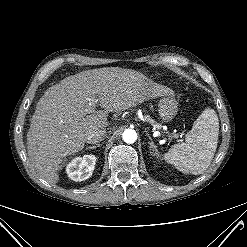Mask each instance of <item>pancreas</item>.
<instances>
[{"label":"pancreas","mask_w":247,"mask_h":247,"mask_svg":"<svg viewBox=\"0 0 247 247\" xmlns=\"http://www.w3.org/2000/svg\"><path fill=\"white\" fill-rule=\"evenodd\" d=\"M147 120L150 122V123H154L155 121H153L151 118H147Z\"/></svg>","instance_id":"pancreas-1"}]
</instances>
